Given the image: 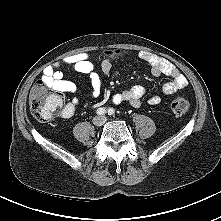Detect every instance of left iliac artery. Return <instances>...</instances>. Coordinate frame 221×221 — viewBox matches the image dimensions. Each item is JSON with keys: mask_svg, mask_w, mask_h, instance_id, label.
Masks as SVG:
<instances>
[{"mask_svg": "<svg viewBox=\"0 0 221 221\" xmlns=\"http://www.w3.org/2000/svg\"><path fill=\"white\" fill-rule=\"evenodd\" d=\"M115 110L113 108L108 109V115H114Z\"/></svg>", "mask_w": 221, "mask_h": 221, "instance_id": "left-iliac-artery-1", "label": "left iliac artery"}]
</instances>
